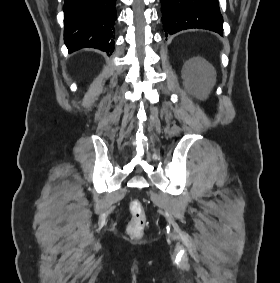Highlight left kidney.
Returning a JSON list of instances; mask_svg holds the SVG:
<instances>
[{
	"instance_id": "1",
	"label": "left kidney",
	"mask_w": 280,
	"mask_h": 283,
	"mask_svg": "<svg viewBox=\"0 0 280 283\" xmlns=\"http://www.w3.org/2000/svg\"><path fill=\"white\" fill-rule=\"evenodd\" d=\"M190 64H194V63H204V61L202 59H192L190 62Z\"/></svg>"
}]
</instances>
